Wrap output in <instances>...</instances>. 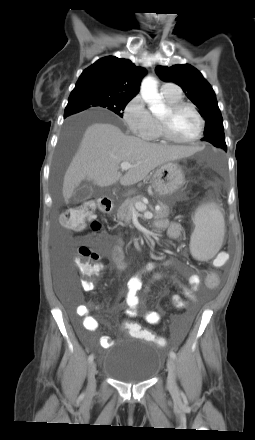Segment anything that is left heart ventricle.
Wrapping results in <instances>:
<instances>
[{
	"mask_svg": "<svg viewBox=\"0 0 255 440\" xmlns=\"http://www.w3.org/2000/svg\"><path fill=\"white\" fill-rule=\"evenodd\" d=\"M169 115L168 109L160 116L165 118ZM199 128L196 115L189 109H184L171 118V130L174 136L181 140L194 137Z\"/></svg>",
	"mask_w": 255,
	"mask_h": 440,
	"instance_id": "obj_1",
	"label": "left heart ventricle"
}]
</instances>
